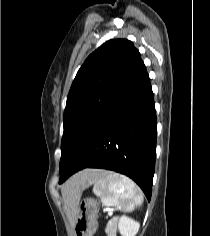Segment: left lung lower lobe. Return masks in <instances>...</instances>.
Returning a JSON list of instances; mask_svg holds the SVG:
<instances>
[{"instance_id": "left-lung-lower-lobe-1", "label": "left lung lower lobe", "mask_w": 210, "mask_h": 236, "mask_svg": "<svg viewBox=\"0 0 210 236\" xmlns=\"http://www.w3.org/2000/svg\"><path fill=\"white\" fill-rule=\"evenodd\" d=\"M157 120L146 69L87 128L60 171L59 183L87 168L113 170L133 179L150 201Z\"/></svg>"}]
</instances>
